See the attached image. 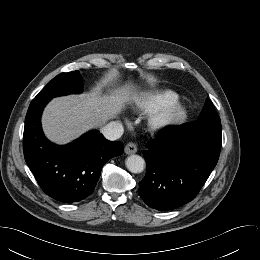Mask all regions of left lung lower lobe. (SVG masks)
Returning <instances> with one entry per match:
<instances>
[{"label": "left lung lower lobe", "instance_id": "left-lung-lower-lobe-1", "mask_svg": "<svg viewBox=\"0 0 260 260\" xmlns=\"http://www.w3.org/2000/svg\"><path fill=\"white\" fill-rule=\"evenodd\" d=\"M222 136L178 127L156 138L143 151L147 169L139 195L165 211L195 198L217 164Z\"/></svg>", "mask_w": 260, "mask_h": 260}]
</instances>
